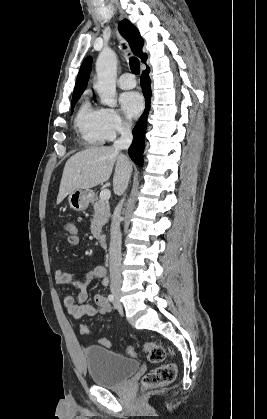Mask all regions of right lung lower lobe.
I'll use <instances>...</instances> for the list:
<instances>
[{
	"instance_id": "1",
	"label": "right lung lower lobe",
	"mask_w": 267,
	"mask_h": 419,
	"mask_svg": "<svg viewBox=\"0 0 267 419\" xmlns=\"http://www.w3.org/2000/svg\"><path fill=\"white\" fill-rule=\"evenodd\" d=\"M149 68L142 72L141 75V87L146 99V107L144 113L139 118L137 124L135 125L133 133V142L129 148V155L133 162L142 166L143 165V151H144V135L147 129V117L150 110V98H151V88H150V78H149Z\"/></svg>"
}]
</instances>
